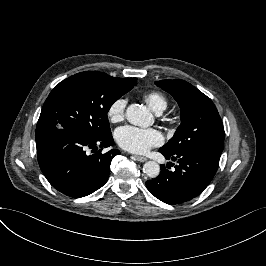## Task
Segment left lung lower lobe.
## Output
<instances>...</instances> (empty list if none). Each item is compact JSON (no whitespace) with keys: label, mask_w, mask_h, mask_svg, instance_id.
<instances>
[{"label":"left lung lower lobe","mask_w":266,"mask_h":266,"mask_svg":"<svg viewBox=\"0 0 266 266\" xmlns=\"http://www.w3.org/2000/svg\"><path fill=\"white\" fill-rule=\"evenodd\" d=\"M166 159L178 161L175 170L161 165L160 174L146 182L148 190L164 203L181 204L197 197L213 179L221 153L206 148H189L177 153L159 149ZM171 164V162H170ZM169 165V164H167Z\"/></svg>","instance_id":"0a47b994"}]
</instances>
